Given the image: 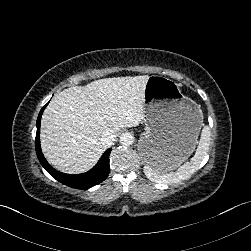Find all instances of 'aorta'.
Masks as SVG:
<instances>
[{"label":"aorta","mask_w":251,"mask_h":251,"mask_svg":"<svg viewBox=\"0 0 251 251\" xmlns=\"http://www.w3.org/2000/svg\"><path fill=\"white\" fill-rule=\"evenodd\" d=\"M134 143V136L131 133H122L120 135V144L123 146H130Z\"/></svg>","instance_id":"obj_1"}]
</instances>
